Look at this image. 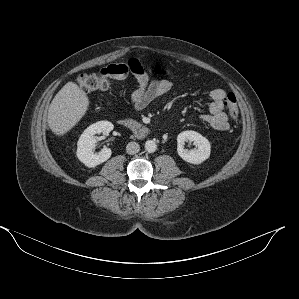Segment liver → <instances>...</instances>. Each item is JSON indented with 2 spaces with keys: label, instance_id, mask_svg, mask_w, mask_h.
Listing matches in <instances>:
<instances>
[{
  "label": "liver",
  "instance_id": "1",
  "mask_svg": "<svg viewBox=\"0 0 299 299\" xmlns=\"http://www.w3.org/2000/svg\"><path fill=\"white\" fill-rule=\"evenodd\" d=\"M88 107L86 93L76 83H66L49 106V128L58 136L66 134L82 119Z\"/></svg>",
  "mask_w": 299,
  "mask_h": 299
}]
</instances>
